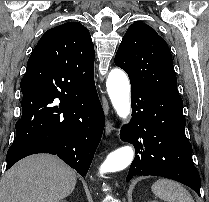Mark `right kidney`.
I'll return each instance as SVG.
<instances>
[{"instance_id":"obj_1","label":"right kidney","mask_w":209,"mask_h":202,"mask_svg":"<svg viewBox=\"0 0 209 202\" xmlns=\"http://www.w3.org/2000/svg\"><path fill=\"white\" fill-rule=\"evenodd\" d=\"M61 202H67L66 200H63V201H61Z\"/></svg>"}]
</instances>
